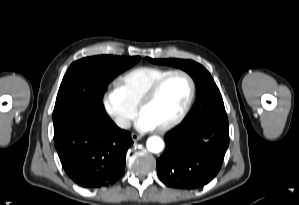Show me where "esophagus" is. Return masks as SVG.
<instances>
[{"label": "esophagus", "instance_id": "obj_1", "mask_svg": "<svg viewBox=\"0 0 299 205\" xmlns=\"http://www.w3.org/2000/svg\"><path fill=\"white\" fill-rule=\"evenodd\" d=\"M131 138H132L133 141H138V140L141 139V136L137 133H132Z\"/></svg>", "mask_w": 299, "mask_h": 205}]
</instances>
